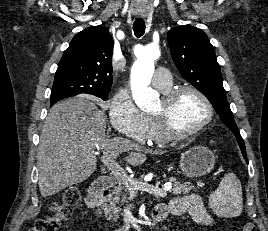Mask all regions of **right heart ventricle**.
<instances>
[{"mask_svg": "<svg viewBox=\"0 0 268 231\" xmlns=\"http://www.w3.org/2000/svg\"><path fill=\"white\" fill-rule=\"evenodd\" d=\"M172 88V84L165 87V88H158L162 94L167 93ZM147 117V123L149 128V142H156V143H165L168 141V139L164 136L162 133L156 119L153 115L148 114Z\"/></svg>", "mask_w": 268, "mask_h": 231, "instance_id": "e07e8e85", "label": "right heart ventricle"}]
</instances>
